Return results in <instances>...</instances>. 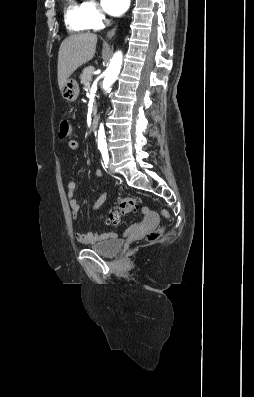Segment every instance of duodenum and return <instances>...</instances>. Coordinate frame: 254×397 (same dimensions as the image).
<instances>
[{"instance_id":"duodenum-1","label":"duodenum","mask_w":254,"mask_h":397,"mask_svg":"<svg viewBox=\"0 0 254 397\" xmlns=\"http://www.w3.org/2000/svg\"><path fill=\"white\" fill-rule=\"evenodd\" d=\"M98 122H99V116L95 113V114L93 115L92 122H91V129H92L93 131H95V130L97 129V127H98Z\"/></svg>"}]
</instances>
